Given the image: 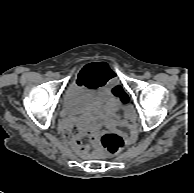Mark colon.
<instances>
[{"instance_id": "1", "label": "colon", "mask_w": 194, "mask_h": 193, "mask_svg": "<svg viewBox=\"0 0 194 193\" xmlns=\"http://www.w3.org/2000/svg\"><path fill=\"white\" fill-rule=\"evenodd\" d=\"M103 149L111 154L120 153L125 148L124 140L116 134H106L100 139Z\"/></svg>"}]
</instances>
